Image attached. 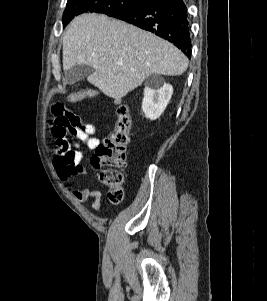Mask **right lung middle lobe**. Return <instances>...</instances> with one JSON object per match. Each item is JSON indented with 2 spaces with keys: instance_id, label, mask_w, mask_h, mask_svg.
Masks as SVG:
<instances>
[{
  "instance_id": "right-lung-middle-lobe-1",
  "label": "right lung middle lobe",
  "mask_w": 267,
  "mask_h": 301,
  "mask_svg": "<svg viewBox=\"0 0 267 301\" xmlns=\"http://www.w3.org/2000/svg\"><path fill=\"white\" fill-rule=\"evenodd\" d=\"M144 3L143 0H68L63 13V26H66L75 16L82 13L96 12L114 17Z\"/></svg>"
}]
</instances>
